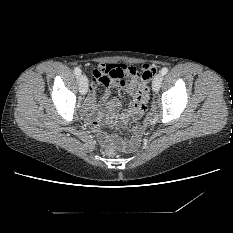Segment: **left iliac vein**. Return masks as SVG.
<instances>
[{
    "label": "left iliac vein",
    "instance_id": "obj_1",
    "mask_svg": "<svg viewBox=\"0 0 233 233\" xmlns=\"http://www.w3.org/2000/svg\"><path fill=\"white\" fill-rule=\"evenodd\" d=\"M162 81H163V74L161 73L157 74L152 82L153 91L157 92L160 89Z\"/></svg>",
    "mask_w": 233,
    "mask_h": 233
}]
</instances>
